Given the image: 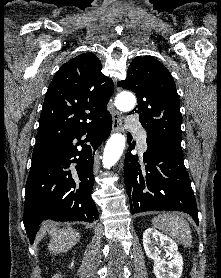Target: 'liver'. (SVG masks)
I'll return each mask as SVG.
<instances>
[{"label": "liver", "mask_w": 221, "mask_h": 278, "mask_svg": "<svg viewBox=\"0 0 221 278\" xmlns=\"http://www.w3.org/2000/svg\"><path fill=\"white\" fill-rule=\"evenodd\" d=\"M46 226L49 228L51 240L48 245L50 252L59 254L67 252L72 249L80 240L79 232L72 228L57 229L52 223L47 222Z\"/></svg>", "instance_id": "6515ba94"}]
</instances>
